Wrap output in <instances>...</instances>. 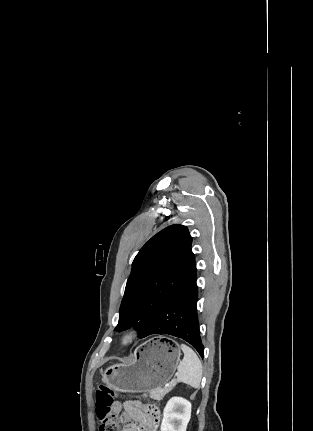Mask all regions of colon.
Masks as SVG:
<instances>
[{
	"label": "colon",
	"instance_id": "1",
	"mask_svg": "<svg viewBox=\"0 0 313 431\" xmlns=\"http://www.w3.org/2000/svg\"><path fill=\"white\" fill-rule=\"evenodd\" d=\"M116 395L117 392L105 384H100L95 392L96 414L100 421V431H119L117 415L112 409ZM149 412L158 422V409L155 406H149Z\"/></svg>",
	"mask_w": 313,
	"mask_h": 431
}]
</instances>
